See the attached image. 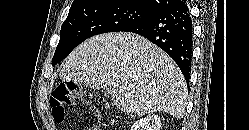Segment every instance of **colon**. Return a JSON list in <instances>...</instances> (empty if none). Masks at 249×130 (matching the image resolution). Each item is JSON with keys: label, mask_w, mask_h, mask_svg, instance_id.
Masks as SVG:
<instances>
[{"label": "colon", "mask_w": 249, "mask_h": 130, "mask_svg": "<svg viewBox=\"0 0 249 130\" xmlns=\"http://www.w3.org/2000/svg\"><path fill=\"white\" fill-rule=\"evenodd\" d=\"M89 96V94L74 83L64 82L58 84L49 98L54 120L58 123H62L65 119L66 108L75 106L80 102L88 104L95 110L97 115H100V111L89 101ZM98 102H101V100L98 99Z\"/></svg>", "instance_id": "1"}]
</instances>
